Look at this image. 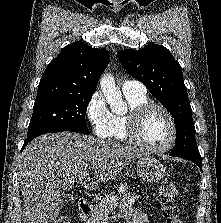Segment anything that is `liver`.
<instances>
[{
  "label": "liver",
  "mask_w": 221,
  "mask_h": 223,
  "mask_svg": "<svg viewBox=\"0 0 221 223\" xmlns=\"http://www.w3.org/2000/svg\"><path fill=\"white\" fill-rule=\"evenodd\" d=\"M145 154L134 146L71 132L35 138L18 163L24 199L22 223H56L64 203L61 188L70 190L81 178H89L85 188L97 189Z\"/></svg>",
  "instance_id": "obj_1"
}]
</instances>
